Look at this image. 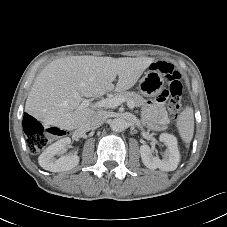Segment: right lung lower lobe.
<instances>
[{"label":"right lung lower lobe","instance_id":"98d812e1","mask_svg":"<svg viewBox=\"0 0 227 227\" xmlns=\"http://www.w3.org/2000/svg\"><path fill=\"white\" fill-rule=\"evenodd\" d=\"M31 116H29L28 114H24V119H23V125H26L28 119L30 118Z\"/></svg>","mask_w":227,"mask_h":227}]
</instances>
